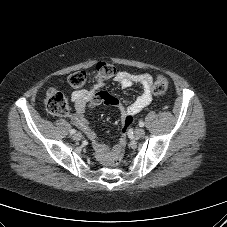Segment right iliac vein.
Here are the masks:
<instances>
[{
  "instance_id": "obj_1",
  "label": "right iliac vein",
  "mask_w": 227,
  "mask_h": 227,
  "mask_svg": "<svg viewBox=\"0 0 227 227\" xmlns=\"http://www.w3.org/2000/svg\"><path fill=\"white\" fill-rule=\"evenodd\" d=\"M72 138L74 141H80L82 139V134L78 132L74 134Z\"/></svg>"
}]
</instances>
